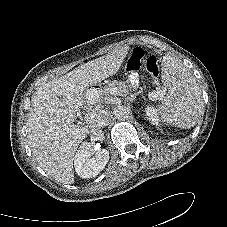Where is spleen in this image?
<instances>
[{
	"label": "spleen",
	"mask_w": 227,
	"mask_h": 227,
	"mask_svg": "<svg viewBox=\"0 0 227 227\" xmlns=\"http://www.w3.org/2000/svg\"><path fill=\"white\" fill-rule=\"evenodd\" d=\"M164 88L159 92L162 105L157 113L162 122L191 128L203 115V99L195 78L178 60L165 56L162 60Z\"/></svg>",
	"instance_id": "3e777b00"
}]
</instances>
